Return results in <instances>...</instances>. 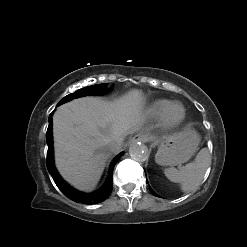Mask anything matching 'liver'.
I'll use <instances>...</instances> for the list:
<instances>
[{
	"instance_id": "liver-1",
	"label": "liver",
	"mask_w": 247,
	"mask_h": 247,
	"mask_svg": "<svg viewBox=\"0 0 247 247\" xmlns=\"http://www.w3.org/2000/svg\"><path fill=\"white\" fill-rule=\"evenodd\" d=\"M144 95L133 89L114 102L82 97L61 105L53 116L55 163L75 188H95L112 153L109 142L120 144L140 128Z\"/></svg>"
}]
</instances>
